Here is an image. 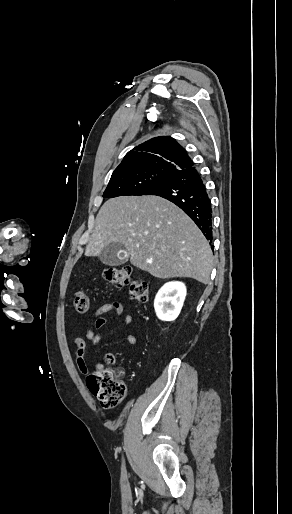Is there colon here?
Here are the masks:
<instances>
[{"instance_id": "1", "label": "colon", "mask_w": 292, "mask_h": 514, "mask_svg": "<svg viewBox=\"0 0 292 514\" xmlns=\"http://www.w3.org/2000/svg\"><path fill=\"white\" fill-rule=\"evenodd\" d=\"M132 270L126 266H116L102 273V278L116 288L125 287L130 282ZM129 295L137 302H147L149 299L148 284L143 279H136L130 283ZM75 307L79 314L90 312L89 297L79 291L75 297ZM119 357L108 353L105 358L106 366L87 377L89 390L95 395L101 406L112 408L119 405L126 397L127 391L121 377L109 366L118 363Z\"/></svg>"}]
</instances>
